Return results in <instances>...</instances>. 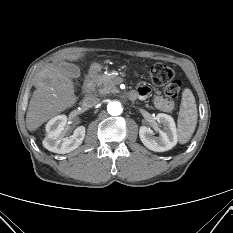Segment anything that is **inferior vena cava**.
<instances>
[{
    "label": "inferior vena cava",
    "instance_id": "obj_1",
    "mask_svg": "<svg viewBox=\"0 0 233 233\" xmlns=\"http://www.w3.org/2000/svg\"><path fill=\"white\" fill-rule=\"evenodd\" d=\"M100 99L94 95V94H91V95H87L84 100H83V103L86 107H94L96 106L98 103H99Z\"/></svg>",
    "mask_w": 233,
    "mask_h": 233
}]
</instances>
